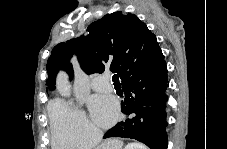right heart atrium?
Returning <instances> with one entry per match:
<instances>
[{"instance_id":"right-heart-atrium-1","label":"right heart atrium","mask_w":227,"mask_h":149,"mask_svg":"<svg viewBox=\"0 0 227 149\" xmlns=\"http://www.w3.org/2000/svg\"><path fill=\"white\" fill-rule=\"evenodd\" d=\"M50 122L52 143L60 149L94 146L102 135L81 108L62 99L51 103Z\"/></svg>"}]
</instances>
